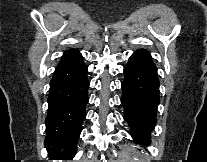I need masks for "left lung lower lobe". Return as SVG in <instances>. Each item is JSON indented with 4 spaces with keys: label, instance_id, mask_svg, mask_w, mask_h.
<instances>
[{
    "label": "left lung lower lobe",
    "instance_id": "left-lung-lower-lobe-1",
    "mask_svg": "<svg viewBox=\"0 0 207 162\" xmlns=\"http://www.w3.org/2000/svg\"><path fill=\"white\" fill-rule=\"evenodd\" d=\"M122 105L124 118L131 127L132 137L140 144H148L156 124L159 104L157 68L145 50L133 53L124 67Z\"/></svg>",
    "mask_w": 207,
    "mask_h": 162
}]
</instances>
